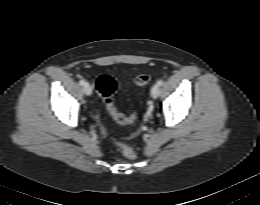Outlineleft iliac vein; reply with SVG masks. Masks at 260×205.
Returning a JSON list of instances; mask_svg holds the SVG:
<instances>
[{
	"label": "left iliac vein",
	"instance_id": "left-iliac-vein-1",
	"mask_svg": "<svg viewBox=\"0 0 260 205\" xmlns=\"http://www.w3.org/2000/svg\"><path fill=\"white\" fill-rule=\"evenodd\" d=\"M160 94V87L158 84H154L151 88V96L156 99Z\"/></svg>",
	"mask_w": 260,
	"mask_h": 205
}]
</instances>
